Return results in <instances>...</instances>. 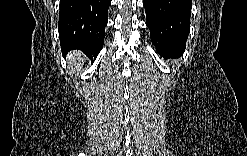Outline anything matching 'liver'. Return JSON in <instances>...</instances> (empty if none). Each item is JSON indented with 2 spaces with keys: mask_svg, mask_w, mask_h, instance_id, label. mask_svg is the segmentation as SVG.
<instances>
[{
  "mask_svg": "<svg viewBox=\"0 0 247 156\" xmlns=\"http://www.w3.org/2000/svg\"><path fill=\"white\" fill-rule=\"evenodd\" d=\"M84 61V55L80 52H73L69 55V64L81 65Z\"/></svg>",
  "mask_w": 247,
  "mask_h": 156,
  "instance_id": "liver-1",
  "label": "liver"
}]
</instances>
